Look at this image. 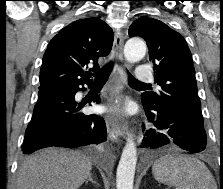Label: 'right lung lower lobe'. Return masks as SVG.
I'll list each match as a JSON object with an SVG mask.
<instances>
[{"label": "right lung lower lobe", "mask_w": 223, "mask_h": 189, "mask_svg": "<svg viewBox=\"0 0 223 189\" xmlns=\"http://www.w3.org/2000/svg\"><path fill=\"white\" fill-rule=\"evenodd\" d=\"M84 88L49 89L39 91L22 145L30 154L50 146L77 148L98 144L106 139V125L102 117L78 113L84 104L75 101V94ZM99 103V96L93 98Z\"/></svg>", "instance_id": "obj_1"}]
</instances>
